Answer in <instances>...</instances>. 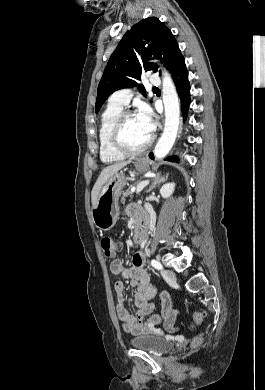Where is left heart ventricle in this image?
Segmentation results:
<instances>
[{"label": "left heart ventricle", "mask_w": 265, "mask_h": 390, "mask_svg": "<svg viewBox=\"0 0 265 390\" xmlns=\"http://www.w3.org/2000/svg\"><path fill=\"white\" fill-rule=\"evenodd\" d=\"M148 139L149 136L145 134L135 115L126 119L123 126V140L128 147L132 149L139 148Z\"/></svg>", "instance_id": "obj_1"}]
</instances>
